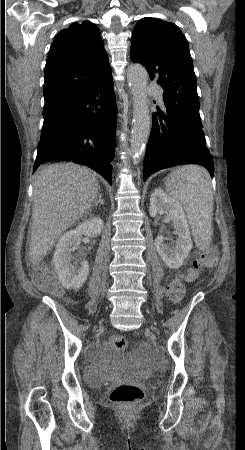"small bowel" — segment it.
<instances>
[{"mask_svg":"<svg viewBox=\"0 0 245 450\" xmlns=\"http://www.w3.org/2000/svg\"><path fill=\"white\" fill-rule=\"evenodd\" d=\"M198 276V273L196 271H191L190 275H189V279L190 281L195 280Z\"/></svg>","mask_w":245,"mask_h":450,"instance_id":"c3829d8e","label":"small bowel"}]
</instances>
